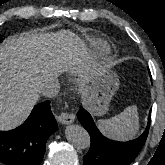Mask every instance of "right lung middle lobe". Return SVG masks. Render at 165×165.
I'll return each instance as SVG.
<instances>
[{
    "label": "right lung middle lobe",
    "instance_id": "dd1d6c3e",
    "mask_svg": "<svg viewBox=\"0 0 165 165\" xmlns=\"http://www.w3.org/2000/svg\"><path fill=\"white\" fill-rule=\"evenodd\" d=\"M0 42H2V37H1V35H0Z\"/></svg>",
    "mask_w": 165,
    "mask_h": 165
}]
</instances>
